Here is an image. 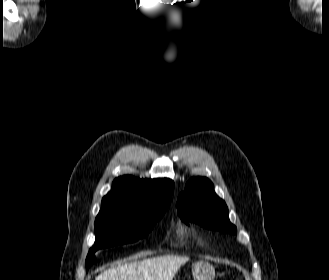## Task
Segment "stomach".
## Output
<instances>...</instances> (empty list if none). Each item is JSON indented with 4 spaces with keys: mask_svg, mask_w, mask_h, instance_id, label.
<instances>
[{
    "mask_svg": "<svg viewBox=\"0 0 329 280\" xmlns=\"http://www.w3.org/2000/svg\"><path fill=\"white\" fill-rule=\"evenodd\" d=\"M192 275L194 280H213L215 268L206 261H198L192 265Z\"/></svg>",
    "mask_w": 329,
    "mask_h": 280,
    "instance_id": "0dacf381",
    "label": "stomach"
}]
</instances>
